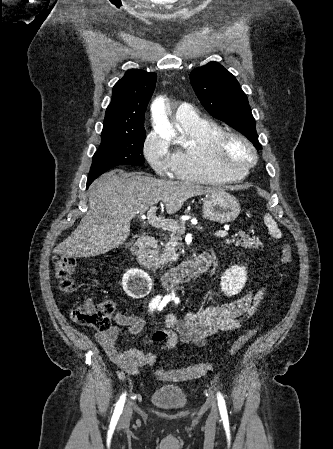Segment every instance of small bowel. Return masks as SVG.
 Here are the masks:
<instances>
[{"instance_id": "c3829d8e", "label": "small bowel", "mask_w": 333, "mask_h": 449, "mask_svg": "<svg viewBox=\"0 0 333 449\" xmlns=\"http://www.w3.org/2000/svg\"><path fill=\"white\" fill-rule=\"evenodd\" d=\"M262 297L263 289H259L235 301L187 313L184 318L170 313L165 317V326L145 338L144 347L151 341L158 343V351L173 349L178 343L204 346L209 336L240 328L253 316ZM144 326L141 316L119 312L114 316L113 326L95 334L108 358L126 374L135 375L143 366L156 362L155 350L132 348L121 351L118 348L117 341L121 335L139 334Z\"/></svg>"}]
</instances>
